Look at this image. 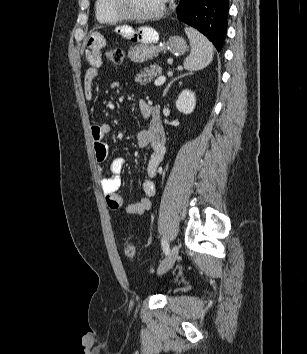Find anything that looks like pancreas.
Returning <instances> with one entry per match:
<instances>
[{
  "label": "pancreas",
  "mask_w": 307,
  "mask_h": 354,
  "mask_svg": "<svg viewBox=\"0 0 307 354\" xmlns=\"http://www.w3.org/2000/svg\"><path fill=\"white\" fill-rule=\"evenodd\" d=\"M162 68L158 65H152L146 67L136 74L135 81L139 82L141 85L150 83L155 77L161 75Z\"/></svg>",
  "instance_id": "obj_1"
}]
</instances>
